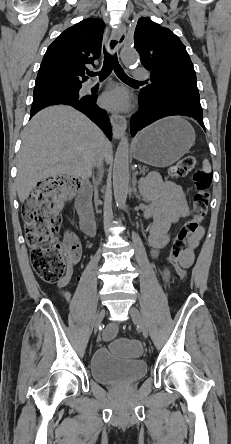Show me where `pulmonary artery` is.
<instances>
[{
    "mask_svg": "<svg viewBox=\"0 0 231 444\" xmlns=\"http://www.w3.org/2000/svg\"><path fill=\"white\" fill-rule=\"evenodd\" d=\"M133 75H134V78L137 80H147L148 79V73L146 72L145 69H143L141 67L133 69ZM94 84H95L94 81L86 83L85 89L91 88Z\"/></svg>",
    "mask_w": 231,
    "mask_h": 444,
    "instance_id": "pulmonary-artery-1",
    "label": "pulmonary artery"
}]
</instances>
